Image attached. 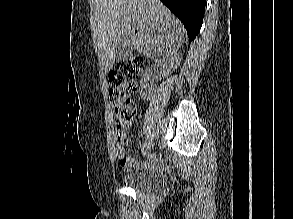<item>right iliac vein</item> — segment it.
<instances>
[{
    "label": "right iliac vein",
    "mask_w": 293,
    "mask_h": 219,
    "mask_svg": "<svg viewBox=\"0 0 293 219\" xmlns=\"http://www.w3.org/2000/svg\"><path fill=\"white\" fill-rule=\"evenodd\" d=\"M153 141H149L143 148H142V154L146 155L147 153H149L151 151V149L153 148Z\"/></svg>",
    "instance_id": "right-iliac-vein-1"
}]
</instances>
